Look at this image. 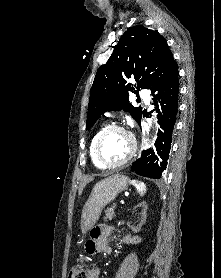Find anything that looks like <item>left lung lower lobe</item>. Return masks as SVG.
<instances>
[{
	"mask_svg": "<svg viewBox=\"0 0 221 278\" xmlns=\"http://www.w3.org/2000/svg\"><path fill=\"white\" fill-rule=\"evenodd\" d=\"M149 89L157 106L160 129L155 148L143 151L141 158L132 164L131 171L141 176L159 179L167 166L178 112V67L174 59L153 81Z\"/></svg>",
	"mask_w": 221,
	"mask_h": 278,
	"instance_id": "left-lung-lower-lobe-1",
	"label": "left lung lower lobe"
}]
</instances>
